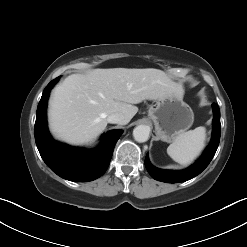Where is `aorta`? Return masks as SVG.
<instances>
[{"mask_svg":"<svg viewBox=\"0 0 247 247\" xmlns=\"http://www.w3.org/2000/svg\"><path fill=\"white\" fill-rule=\"evenodd\" d=\"M150 128L146 125H138L133 130V137L137 142L143 143L149 139Z\"/></svg>","mask_w":247,"mask_h":247,"instance_id":"1","label":"aorta"}]
</instances>
